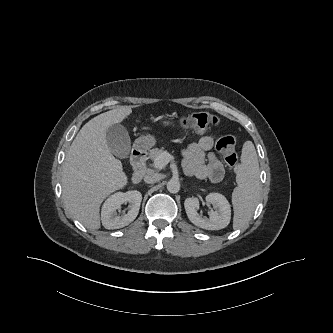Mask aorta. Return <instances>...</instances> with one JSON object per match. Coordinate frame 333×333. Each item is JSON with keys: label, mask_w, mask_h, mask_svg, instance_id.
Listing matches in <instances>:
<instances>
[{"label": "aorta", "mask_w": 333, "mask_h": 333, "mask_svg": "<svg viewBox=\"0 0 333 333\" xmlns=\"http://www.w3.org/2000/svg\"><path fill=\"white\" fill-rule=\"evenodd\" d=\"M167 190L170 193H177L180 190V183L178 180L176 179H171L170 181H168L167 183Z\"/></svg>", "instance_id": "aorta-1"}]
</instances>
